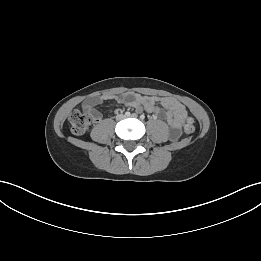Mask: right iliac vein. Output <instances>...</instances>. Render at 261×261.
Here are the masks:
<instances>
[{
  "mask_svg": "<svg viewBox=\"0 0 261 261\" xmlns=\"http://www.w3.org/2000/svg\"><path fill=\"white\" fill-rule=\"evenodd\" d=\"M123 118H124V116H123L122 114H119V115H117V117H116L117 120H122Z\"/></svg>",
  "mask_w": 261,
  "mask_h": 261,
  "instance_id": "1",
  "label": "right iliac vein"
}]
</instances>
